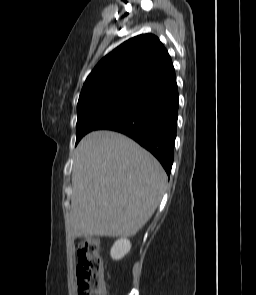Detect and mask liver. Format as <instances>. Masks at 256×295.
Wrapping results in <instances>:
<instances>
[{"instance_id":"1","label":"liver","mask_w":256,"mask_h":295,"mask_svg":"<svg viewBox=\"0 0 256 295\" xmlns=\"http://www.w3.org/2000/svg\"><path fill=\"white\" fill-rule=\"evenodd\" d=\"M166 184L158 160L127 136L87 134L74 156L72 238L136 234L153 215Z\"/></svg>"}]
</instances>
